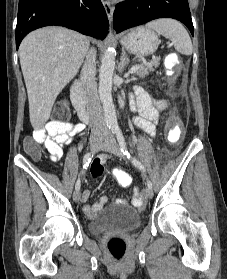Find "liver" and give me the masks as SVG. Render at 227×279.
Wrapping results in <instances>:
<instances>
[{
  "mask_svg": "<svg viewBox=\"0 0 227 279\" xmlns=\"http://www.w3.org/2000/svg\"><path fill=\"white\" fill-rule=\"evenodd\" d=\"M89 45L88 37L63 27L35 30L21 42L19 58L34 129L48 121L57 96L76 76Z\"/></svg>",
  "mask_w": 227,
  "mask_h": 279,
  "instance_id": "obj_1",
  "label": "liver"
}]
</instances>
